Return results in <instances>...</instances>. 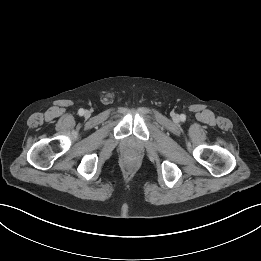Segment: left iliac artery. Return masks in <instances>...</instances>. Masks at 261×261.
Segmentation results:
<instances>
[{
  "label": "left iliac artery",
  "instance_id": "44dca946",
  "mask_svg": "<svg viewBox=\"0 0 261 261\" xmlns=\"http://www.w3.org/2000/svg\"><path fill=\"white\" fill-rule=\"evenodd\" d=\"M186 119V116L185 115H181V120L184 121Z\"/></svg>",
  "mask_w": 261,
  "mask_h": 261
}]
</instances>
